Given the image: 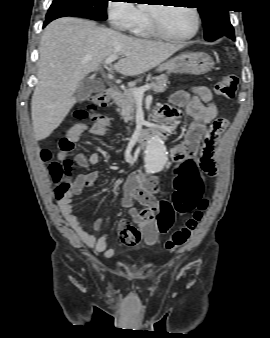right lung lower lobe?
Listing matches in <instances>:
<instances>
[{"label": "right lung lower lobe", "mask_w": 270, "mask_h": 338, "mask_svg": "<svg viewBox=\"0 0 270 338\" xmlns=\"http://www.w3.org/2000/svg\"><path fill=\"white\" fill-rule=\"evenodd\" d=\"M53 19H46V21L44 22L43 26H46L49 22H51Z\"/></svg>", "instance_id": "98d812e1"}]
</instances>
